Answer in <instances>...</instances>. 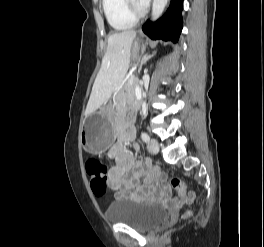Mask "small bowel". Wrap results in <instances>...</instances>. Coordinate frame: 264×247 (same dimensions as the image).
Masks as SVG:
<instances>
[{"mask_svg":"<svg viewBox=\"0 0 264 247\" xmlns=\"http://www.w3.org/2000/svg\"><path fill=\"white\" fill-rule=\"evenodd\" d=\"M134 137V123L127 120L119 130V141L109 151V156L116 162L109 170V186L116 191L117 199H167L170 189L165 174L150 160L137 162L133 155L125 150L124 145L133 141ZM133 149L139 151L140 146L133 143Z\"/></svg>","mask_w":264,"mask_h":247,"instance_id":"1","label":"small bowel"}]
</instances>
